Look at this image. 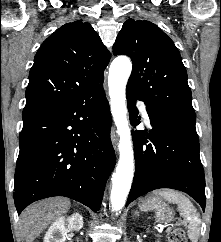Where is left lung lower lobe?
Here are the masks:
<instances>
[{"label":"left lung lower lobe","instance_id":"left-lung-lower-lobe-1","mask_svg":"<svg viewBox=\"0 0 221 242\" xmlns=\"http://www.w3.org/2000/svg\"><path fill=\"white\" fill-rule=\"evenodd\" d=\"M131 125L139 124L135 106L141 98L126 90ZM153 127L149 133L132 134L136 169L127 204L159 188H172L193 197L205 210V177L199 155L195 122L153 111L147 107ZM148 140L152 144H147Z\"/></svg>","mask_w":221,"mask_h":242}]
</instances>
